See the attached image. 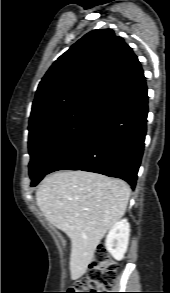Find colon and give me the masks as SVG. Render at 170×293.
<instances>
[{
    "mask_svg": "<svg viewBox=\"0 0 170 293\" xmlns=\"http://www.w3.org/2000/svg\"><path fill=\"white\" fill-rule=\"evenodd\" d=\"M114 263L107 250L100 246L93 255L85 278L78 280L70 288L71 293H107V289L115 282Z\"/></svg>",
    "mask_w": 170,
    "mask_h": 293,
    "instance_id": "obj_1",
    "label": "colon"
}]
</instances>
